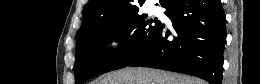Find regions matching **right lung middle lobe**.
<instances>
[{"instance_id": "dd1d6c3e", "label": "right lung middle lobe", "mask_w": 260, "mask_h": 84, "mask_svg": "<svg viewBox=\"0 0 260 84\" xmlns=\"http://www.w3.org/2000/svg\"><path fill=\"white\" fill-rule=\"evenodd\" d=\"M146 17L135 13L117 21H100L78 39L74 66L76 83L83 84L97 74L129 66L140 57L162 26L157 18L146 20ZM113 40L122 45L115 52L110 49L105 52Z\"/></svg>"}]
</instances>
